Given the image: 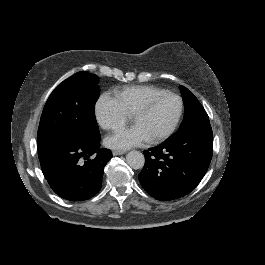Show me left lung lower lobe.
I'll return each instance as SVG.
<instances>
[{
  "instance_id": "0a47b994",
  "label": "left lung lower lobe",
  "mask_w": 265,
  "mask_h": 265,
  "mask_svg": "<svg viewBox=\"0 0 265 265\" xmlns=\"http://www.w3.org/2000/svg\"><path fill=\"white\" fill-rule=\"evenodd\" d=\"M213 153L210 125L172 136L144 151L139 180L148 194L169 201L190 193L205 175Z\"/></svg>"
}]
</instances>
